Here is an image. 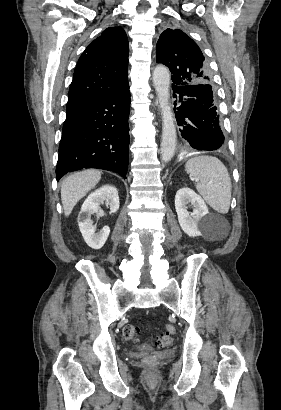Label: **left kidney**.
Here are the masks:
<instances>
[{
	"mask_svg": "<svg viewBox=\"0 0 281 410\" xmlns=\"http://www.w3.org/2000/svg\"><path fill=\"white\" fill-rule=\"evenodd\" d=\"M189 203L193 206L192 213L187 210ZM175 209L182 230L190 237L201 236L203 229L210 223L208 207L204 200L188 187L177 191Z\"/></svg>",
	"mask_w": 281,
	"mask_h": 410,
	"instance_id": "5707ae66",
	"label": "left kidney"
}]
</instances>
